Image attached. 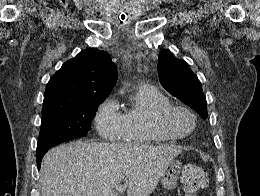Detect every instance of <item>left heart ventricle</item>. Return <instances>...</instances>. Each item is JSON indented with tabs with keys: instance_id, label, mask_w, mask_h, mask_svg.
<instances>
[{
	"instance_id": "obj_1",
	"label": "left heart ventricle",
	"mask_w": 260,
	"mask_h": 196,
	"mask_svg": "<svg viewBox=\"0 0 260 196\" xmlns=\"http://www.w3.org/2000/svg\"><path fill=\"white\" fill-rule=\"evenodd\" d=\"M158 110H154L152 121L157 117ZM168 124L177 131L183 132L190 128V119L180 112H173L168 119Z\"/></svg>"
}]
</instances>
